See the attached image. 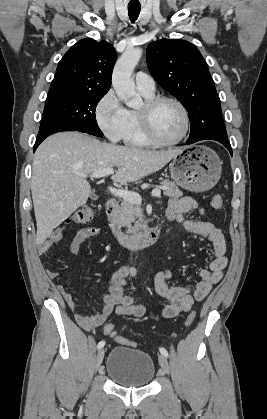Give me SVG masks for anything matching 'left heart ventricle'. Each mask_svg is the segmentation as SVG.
I'll return each instance as SVG.
<instances>
[{
    "label": "left heart ventricle",
    "instance_id": "1",
    "mask_svg": "<svg viewBox=\"0 0 267 419\" xmlns=\"http://www.w3.org/2000/svg\"><path fill=\"white\" fill-rule=\"evenodd\" d=\"M152 122L155 132L163 140H174L183 132L182 112L171 102H163L155 109Z\"/></svg>",
    "mask_w": 267,
    "mask_h": 419
}]
</instances>
